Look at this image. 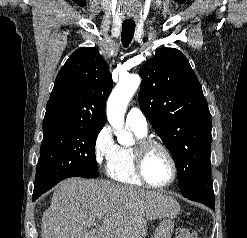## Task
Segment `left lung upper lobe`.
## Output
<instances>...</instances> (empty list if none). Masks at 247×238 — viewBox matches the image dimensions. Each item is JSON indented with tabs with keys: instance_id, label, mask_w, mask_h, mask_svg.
<instances>
[{
	"instance_id": "obj_1",
	"label": "left lung upper lobe",
	"mask_w": 247,
	"mask_h": 238,
	"mask_svg": "<svg viewBox=\"0 0 247 238\" xmlns=\"http://www.w3.org/2000/svg\"><path fill=\"white\" fill-rule=\"evenodd\" d=\"M140 74V107L175 160L182 195L213 209L211 115L189 61L161 48Z\"/></svg>"
}]
</instances>
